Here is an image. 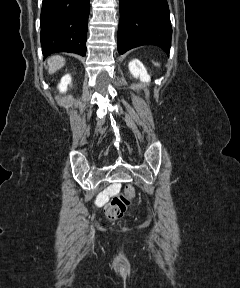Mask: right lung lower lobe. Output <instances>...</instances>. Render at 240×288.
<instances>
[{
  "mask_svg": "<svg viewBox=\"0 0 240 288\" xmlns=\"http://www.w3.org/2000/svg\"><path fill=\"white\" fill-rule=\"evenodd\" d=\"M89 0H43L41 46L45 57L57 52L86 54Z\"/></svg>",
  "mask_w": 240,
  "mask_h": 288,
  "instance_id": "obj_1",
  "label": "right lung lower lobe"
}]
</instances>
